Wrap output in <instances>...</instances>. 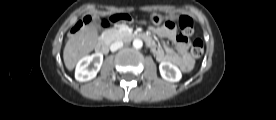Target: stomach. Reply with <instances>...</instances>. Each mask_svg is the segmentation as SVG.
I'll use <instances>...</instances> for the list:
<instances>
[{
	"instance_id": "obj_1",
	"label": "stomach",
	"mask_w": 276,
	"mask_h": 120,
	"mask_svg": "<svg viewBox=\"0 0 276 120\" xmlns=\"http://www.w3.org/2000/svg\"><path fill=\"white\" fill-rule=\"evenodd\" d=\"M178 16L177 15H169L167 19L171 20H177ZM166 19V17L162 16L161 14L154 13L150 17V21L153 25L155 26H160L161 23ZM142 23H146V21H142Z\"/></svg>"
}]
</instances>
